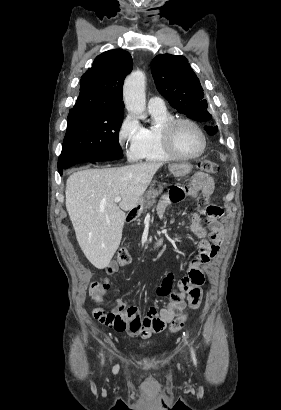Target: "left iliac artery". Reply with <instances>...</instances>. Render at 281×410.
Instances as JSON below:
<instances>
[{
	"instance_id": "44dca946",
	"label": "left iliac artery",
	"mask_w": 281,
	"mask_h": 410,
	"mask_svg": "<svg viewBox=\"0 0 281 410\" xmlns=\"http://www.w3.org/2000/svg\"><path fill=\"white\" fill-rule=\"evenodd\" d=\"M191 354H192L193 361L196 364V356H195V352L192 348H191Z\"/></svg>"
}]
</instances>
